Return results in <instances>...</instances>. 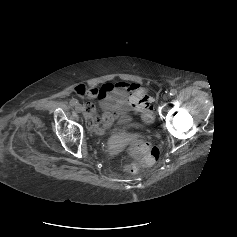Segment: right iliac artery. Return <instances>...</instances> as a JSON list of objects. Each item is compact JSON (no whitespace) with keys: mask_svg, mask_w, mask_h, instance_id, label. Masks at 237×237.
I'll return each mask as SVG.
<instances>
[{"mask_svg":"<svg viewBox=\"0 0 237 237\" xmlns=\"http://www.w3.org/2000/svg\"><path fill=\"white\" fill-rule=\"evenodd\" d=\"M77 100H75V99H72L71 101H70V105L71 106H76L77 105Z\"/></svg>","mask_w":237,"mask_h":237,"instance_id":"1","label":"right iliac artery"}]
</instances>
